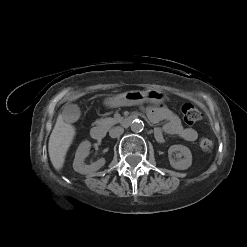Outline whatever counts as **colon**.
I'll use <instances>...</instances> for the list:
<instances>
[{
  "label": "colon",
  "instance_id": "obj_1",
  "mask_svg": "<svg viewBox=\"0 0 247 247\" xmlns=\"http://www.w3.org/2000/svg\"><path fill=\"white\" fill-rule=\"evenodd\" d=\"M181 111L185 122L188 124H194L201 119V112L192 103L183 104ZM199 146L203 151H209L213 147V141L209 136H203L199 140Z\"/></svg>",
  "mask_w": 247,
  "mask_h": 247
}]
</instances>
